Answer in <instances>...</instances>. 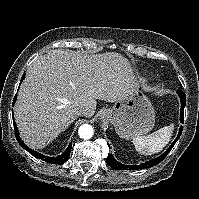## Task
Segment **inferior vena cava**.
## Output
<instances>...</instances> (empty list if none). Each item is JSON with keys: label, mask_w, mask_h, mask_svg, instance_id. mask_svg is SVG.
Returning a JSON list of instances; mask_svg holds the SVG:
<instances>
[{"label": "inferior vena cava", "mask_w": 199, "mask_h": 199, "mask_svg": "<svg viewBox=\"0 0 199 199\" xmlns=\"http://www.w3.org/2000/svg\"><path fill=\"white\" fill-rule=\"evenodd\" d=\"M76 114H77L78 116H83V115L85 114V108H83V107H78V108L76 109Z\"/></svg>", "instance_id": "inferior-vena-cava-1"}]
</instances>
